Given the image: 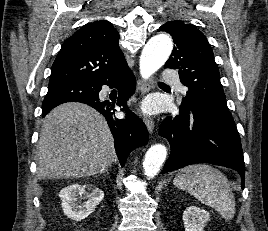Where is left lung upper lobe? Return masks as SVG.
I'll return each instance as SVG.
<instances>
[{
	"instance_id": "left-lung-upper-lobe-1",
	"label": "left lung upper lobe",
	"mask_w": 268,
	"mask_h": 231,
	"mask_svg": "<svg viewBox=\"0 0 268 231\" xmlns=\"http://www.w3.org/2000/svg\"><path fill=\"white\" fill-rule=\"evenodd\" d=\"M160 31L168 32L175 43L165 68L179 70L182 84L189 88L180 109L201 110L235 124L205 35L195 26L182 21H169L159 28Z\"/></svg>"
}]
</instances>
